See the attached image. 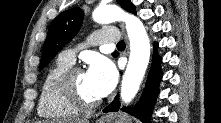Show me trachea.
I'll use <instances>...</instances> for the list:
<instances>
[{
  "mask_svg": "<svg viewBox=\"0 0 221 123\" xmlns=\"http://www.w3.org/2000/svg\"><path fill=\"white\" fill-rule=\"evenodd\" d=\"M118 47H125V42L121 40L120 42L117 43Z\"/></svg>",
  "mask_w": 221,
  "mask_h": 123,
  "instance_id": "3493384b",
  "label": "trachea"
}]
</instances>
